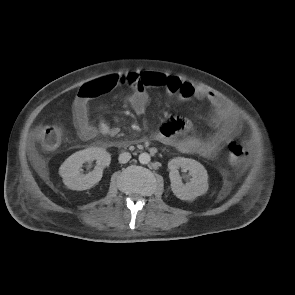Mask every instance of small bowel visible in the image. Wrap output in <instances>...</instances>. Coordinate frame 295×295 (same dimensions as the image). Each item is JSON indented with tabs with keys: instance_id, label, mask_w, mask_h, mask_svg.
Returning <instances> with one entry per match:
<instances>
[{
	"instance_id": "c3829d8e",
	"label": "small bowel",
	"mask_w": 295,
	"mask_h": 295,
	"mask_svg": "<svg viewBox=\"0 0 295 295\" xmlns=\"http://www.w3.org/2000/svg\"><path fill=\"white\" fill-rule=\"evenodd\" d=\"M139 85L130 88L126 100L133 111L143 116L149 102L147 90L153 87H163L167 93L179 100L191 99L207 101L213 114L209 125L213 133L207 138L187 135L192 124L181 117H170L161 124L160 129L153 134L154 138L165 145L173 146L183 153L197 154L201 157L215 158L223 146L236 137L241 129V119L238 114L221 97L213 92L185 82L177 76L169 77L159 72H146L136 75ZM117 76H106L81 86L72 107L73 122L78 135L85 139H92L96 135L111 136L115 131L111 129L104 118L96 126L89 120L88 103L91 99L109 92L113 87L109 81Z\"/></svg>"
}]
</instances>
